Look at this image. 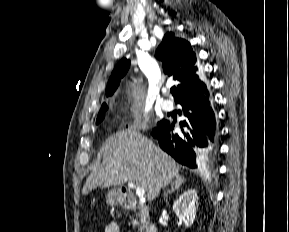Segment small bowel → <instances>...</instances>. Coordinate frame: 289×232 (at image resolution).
<instances>
[{
  "instance_id": "1",
  "label": "small bowel",
  "mask_w": 289,
  "mask_h": 232,
  "mask_svg": "<svg viewBox=\"0 0 289 232\" xmlns=\"http://www.w3.org/2000/svg\"><path fill=\"white\" fill-rule=\"evenodd\" d=\"M104 232H120L119 225L115 222L109 223Z\"/></svg>"
}]
</instances>
